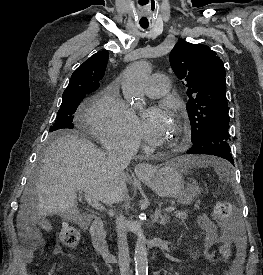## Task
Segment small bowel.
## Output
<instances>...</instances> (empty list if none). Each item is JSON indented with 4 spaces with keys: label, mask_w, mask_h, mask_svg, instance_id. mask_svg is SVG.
<instances>
[{
    "label": "small bowel",
    "mask_w": 263,
    "mask_h": 275,
    "mask_svg": "<svg viewBox=\"0 0 263 275\" xmlns=\"http://www.w3.org/2000/svg\"><path fill=\"white\" fill-rule=\"evenodd\" d=\"M198 223L200 228L205 234L204 257L206 259H210L213 256L214 246L219 242V231L217 226L213 224L204 215H201L198 218ZM39 242H40L39 236L36 233H32L30 236V244L26 249L25 254L23 255L21 263L19 264V275H33L27 270L26 265L32 261L34 253L39 246ZM54 252L55 254H61V249L56 248ZM239 264L240 262L238 261L235 265V268L239 269ZM54 271H55V268L51 270L50 275L53 274ZM207 275H213V274H207Z\"/></svg>",
    "instance_id": "1"
}]
</instances>
